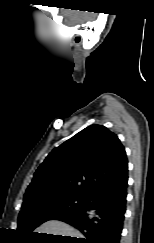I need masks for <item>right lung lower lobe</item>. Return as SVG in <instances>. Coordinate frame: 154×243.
<instances>
[{
	"mask_svg": "<svg viewBox=\"0 0 154 243\" xmlns=\"http://www.w3.org/2000/svg\"><path fill=\"white\" fill-rule=\"evenodd\" d=\"M128 167L97 185L87 196L83 207L58 215L82 232L84 238L73 243H119L126 211Z\"/></svg>",
	"mask_w": 154,
	"mask_h": 243,
	"instance_id": "obj_1",
	"label": "right lung lower lobe"
}]
</instances>
